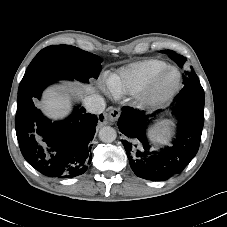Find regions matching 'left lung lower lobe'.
Returning <instances> with one entry per match:
<instances>
[{
  "instance_id": "0a47b994",
  "label": "left lung lower lobe",
  "mask_w": 227,
  "mask_h": 227,
  "mask_svg": "<svg viewBox=\"0 0 227 227\" xmlns=\"http://www.w3.org/2000/svg\"><path fill=\"white\" fill-rule=\"evenodd\" d=\"M173 114L179 120L172 147L155 151L146 138L150 117L144 111L123 107L118 120L119 130L125 135V147L134 173L147 180L162 181L180 173L196 155L204 124V99L189 97L174 100Z\"/></svg>"
}]
</instances>
